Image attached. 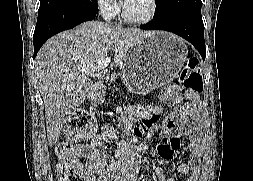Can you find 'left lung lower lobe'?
Returning a JSON list of instances; mask_svg holds the SVG:
<instances>
[{
  "instance_id": "1",
  "label": "left lung lower lobe",
  "mask_w": 253,
  "mask_h": 181,
  "mask_svg": "<svg viewBox=\"0 0 253 181\" xmlns=\"http://www.w3.org/2000/svg\"><path fill=\"white\" fill-rule=\"evenodd\" d=\"M144 30L173 32L189 41L205 59L204 24L201 11H180L141 25Z\"/></svg>"
}]
</instances>
